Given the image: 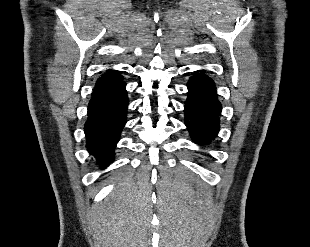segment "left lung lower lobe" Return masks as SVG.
<instances>
[{
	"label": "left lung lower lobe",
	"mask_w": 310,
	"mask_h": 247,
	"mask_svg": "<svg viewBox=\"0 0 310 247\" xmlns=\"http://www.w3.org/2000/svg\"><path fill=\"white\" fill-rule=\"evenodd\" d=\"M188 89L185 124L194 141L205 144L218 133L221 104L217 99L214 82L203 74L191 77Z\"/></svg>",
	"instance_id": "0a47b994"
}]
</instances>
